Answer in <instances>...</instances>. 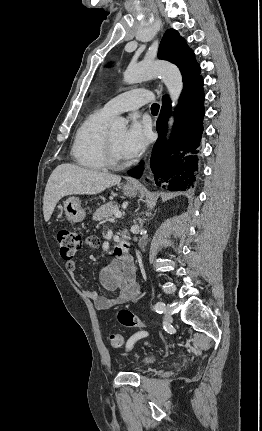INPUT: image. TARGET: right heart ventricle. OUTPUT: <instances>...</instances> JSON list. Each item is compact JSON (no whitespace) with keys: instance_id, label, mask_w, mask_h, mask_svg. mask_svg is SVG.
<instances>
[{"instance_id":"1","label":"right heart ventricle","mask_w":262,"mask_h":431,"mask_svg":"<svg viewBox=\"0 0 262 431\" xmlns=\"http://www.w3.org/2000/svg\"><path fill=\"white\" fill-rule=\"evenodd\" d=\"M105 108H99L83 120L78 127L72 145V155L82 167L91 170L106 168L105 138L106 122L111 116Z\"/></svg>"}]
</instances>
